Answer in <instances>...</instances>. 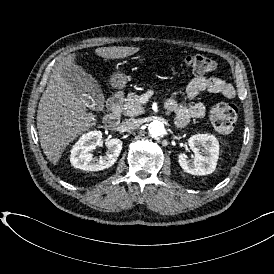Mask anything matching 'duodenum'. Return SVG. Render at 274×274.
Masks as SVG:
<instances>
[{"label": "duodenum", "instance_id": "1", "mask_svg": "<svg viewBox=\"0 0 274 274\" xmlns=\"http://www.w3.org/2000/svg\"><path fill=\"white\" fill-rule=\"evenodd\" d=\"M122 96L120 94H113L107 101L108 113L104 118V124L109 129L116 128L121 119V105H122Z\"/></svg>", "mask_w": 274, "mask_h": 274}]
</instances>
